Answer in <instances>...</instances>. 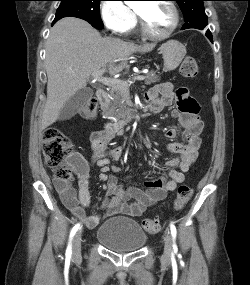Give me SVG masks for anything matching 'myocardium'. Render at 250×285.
<instances>
[{
	"mask_svg": "<svg viewBox=\"0 0 250 285\" xmlns=\"http://www.w3.org/2000/svg\"><path fill=\"white\" fill-rule=\"evenodd\" d=\"M162 3H165L166 5H168L170 7V9L172 10V13H173V24L170 27V29L166 33H164L162 35H156V34L151 33L147 29L143 17L136 10V15H137V18H138V24H139L140 32L147 39L154 40V41L166 40V39L170 38L173 35V33L177 30V28H178V26L180 24V13H179V10H178L176 4L173 1H171V0H164V2H162Z\"/></svg>",
	"mask_w": 250,
	"mask_h": 285,
	"instance_id": "obj_1",
	"label": "myocardium"
}]
</instances>
